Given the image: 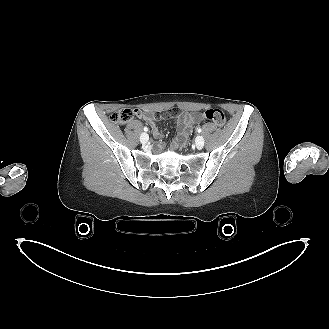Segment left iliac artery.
Masks as SVG:
<instances>
[{
    "label": "left iliac artery",
    "mask_w": 329,
    "mask_h": 329,
    "mask_svg": "<svg viewBox=\"0 0 329 329\" xmlns=\"http://www.w3.org/2000/svg\"><path fill=\"white\" fill-rule=\"evenodd\" d=\"M197 132L198 133H201L202 132V129L201 128H197Z\"/></svg>",
    "instance_id": "44dca946"
}]
</instances>
